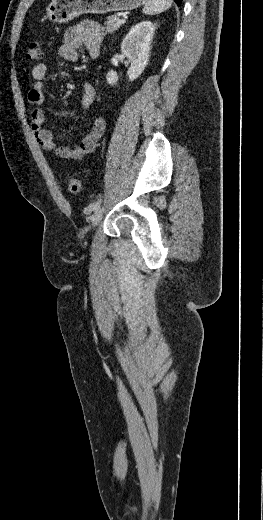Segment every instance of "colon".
Masks as SVG:
<instances>
[{"label": "colon", "instance_id": "obj_1", "mask_svg": "<svg viewBox=\"0 0 263 520\" xmlns=\"http://www.w3.org/2000/svg\"><path fill=\"white\" fill-rule=\"evenodd\" d=\"M27 58L29 60H39L41 58V47L37 41H32L27 49ZM67 190L72 195H78L82 192V184L79 179L67 176L66 179Z\"/></svg>", "mask_w": 263, "mask_h": 520}]
</instances>
